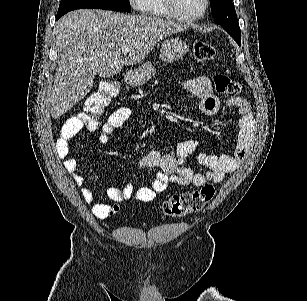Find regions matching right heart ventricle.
<instances>
[{
  "label": "right heart ventricle",
  "mask_w": 307,
  "mask_h": 301,
  "mask_svg": "<svg viewBox=\"0 0 307 301\" xmlns=\"http://www.w3.org/2000/svg\"><path fill=\"white\" fill-rule=\"evenodd\" d=\"M143 8H150L154 12V17H169V10H161L163 7V0H142Z\"/></svg>",
  "instance_id": "right-heart-ventricle-1"
}]
</instances>
